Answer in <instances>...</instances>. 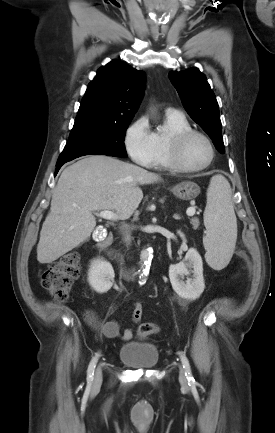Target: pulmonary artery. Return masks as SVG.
I'll use <instances>...</instances> for the list:
<instances>
[{"instance_id": "pulmonary-artery-1", "label": "pulmonary artery", "mask_w": 275, "mask_h": 433, "mask_svg": "<svg viewBox=\"0 0 275 433\" xmlns=\"http://www.w3.org/2000/svg\"><path fill=\"white\" fill-rule=\"evenodd\" d=\"M167 112L173 113V114H181V112L178 109H175V108H168Z\"/></svg>"}]
</instances>
